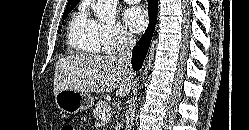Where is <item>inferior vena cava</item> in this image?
I'll list each match as a JSON object with an SVG mask.
<instances>
[{
	"label": "inferior vena cava",
	"instance_id": "obj_1",
	"mask_svg": "<svg viewBox=\"0 0 249 130\" xmlns=\"http://www.w3.org/2000/svg\"><path fill=\"white\" fill-rule=\"evenodd\" d=\"M136 43V39L131 35H126L123 38L120 52L116 56L117 61L129 69L131 64L132 49Z\"/></svg>",
	"mask_w": 249,
	"mask_h": 130
}]
</instances>
